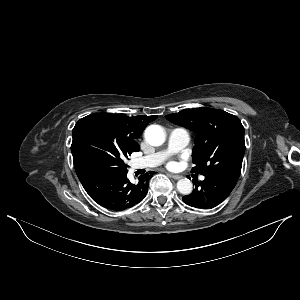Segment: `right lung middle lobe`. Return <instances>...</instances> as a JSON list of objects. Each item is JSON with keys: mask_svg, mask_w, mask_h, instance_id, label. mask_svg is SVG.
<instances>
[{"mask_svg": "<svg viewBox=\"0 0 300 300\" xmlns=\"http://www.w3.org/2000/svg\"><path fill=\"white\" fill-rule=\"evenodd\" d=\"M72 137L71 151L78 178L97 171L128 172L124 161L134 150L107 129L97 114L80 119Z\"/></svg>", "mask_w": 300, "mask_h": 300, "instance_id": "obj_1", "label": "right lung middle lobe"}]
</instances>
